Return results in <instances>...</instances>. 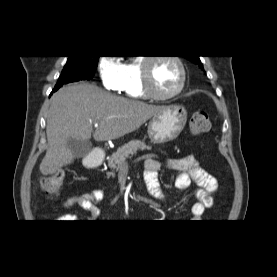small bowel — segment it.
Here are the masks:
<instances>
[{
  "label": "small bowel",
  "mask_w": 277,
  "mask_h": 277,
  "mask_svg": "<svg viewBox=\"0 0 277 277\" xmlns=\"http://www.w3.org/2000/svg\"><path fill=\"white\" fill-rule=\"evenodd\" d=\"M166 167L177 171L175 179L176 188L183 192L188 189L192 183L196 184L197 189L195 196L197 202L191 207V214L194 218H200L205 209L213 205L214 195L218 190L219 184L217 179L203 169L198 159L193 155L172 158L166 162ZM161 163L155 158H148L145 162L144 181L150 194L158 199L164 200L160 183L158 180V171ZM105 199V193L101 189H95L90 192L73 195L67 199L65 206L77 205L89 212V219L95 220L100 215L98 203ZM61 222H69L73 219L72 215L65 214L59 218Z\"/></svg>",
  "instance_id": "c3829d8e"
}]
</instances>
